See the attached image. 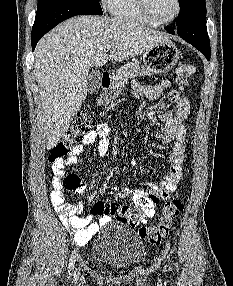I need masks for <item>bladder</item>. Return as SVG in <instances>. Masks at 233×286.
Listing matches in <instances>:
<instances>
[{
    "label": "bladder",
    "instance_id": "obj_1",
    "mask_svg": "<svg viewBox=\"0 0 233 286\" xmlns=\"http://www.w3.org/2000/svg\"><path fill=\"white\" fill-rule=\"evenodd\" d=\"M147 255L142 238L124 223H110L91 249L92 261L114 271H127L141 265Z\"/></svg>",
    "mask_w": 233,
    "mask_h": 286
}]
</instances>
